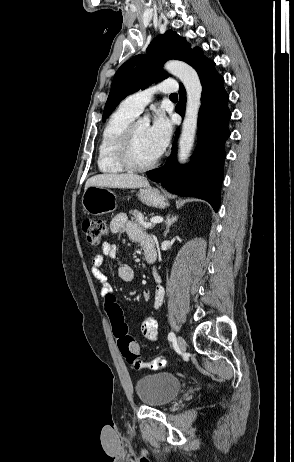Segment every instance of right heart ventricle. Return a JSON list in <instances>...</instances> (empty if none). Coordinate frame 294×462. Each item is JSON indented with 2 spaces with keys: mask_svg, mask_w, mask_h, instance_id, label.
I'll use <instances>...</instances> for the list:
<instances>
[{
  "mask_svg": "<svg viewBox=\"0 0 294 462\" xmlns=\"http://www.w3.org/2000/svg\"><path fill=\"white\" fill-rule=\"evenodd\" d=\"M136 116L121 104L109 117L103 128L98 146L97 165L100 172L118 174L125 171L116 160L115 150L122 131Z\"/></svg>",
  "mask_w": 294,
  "mask_h": 462,
  "instance_id": "1",
  "label": "right heart ventricle"
}]
</instances>
